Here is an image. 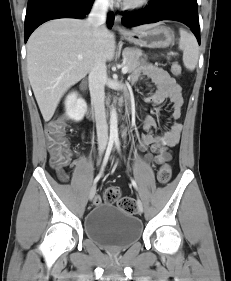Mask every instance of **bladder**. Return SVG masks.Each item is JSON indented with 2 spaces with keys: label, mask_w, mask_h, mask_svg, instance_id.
Segmentation results:
<instances>
[{
  "label": "bladder",
  "mask_w": 231,
  "mask_h": 281,
  "mask_svg": "<svg viewBox=\"0 0 231 281\" xmlns=\"http://www.w3.org/2000/svg\"><path fill=\"white\" fill-rule=\"evenodd\" d=\"M85 235L98 245L122 251L142 236L143 225L139 218L111 204H99L84 219Z\"/></svg>",
  "instance_id": "bladder-1"
}]
</instances>
